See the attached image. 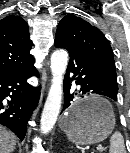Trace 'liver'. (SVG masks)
<instances>
[{"label": "liver", "instance_id": "6515ba94", "mask_svg": "<svg viewBox=\"0 0 130 153\" xmlns=\"http://www.w3.org/2000/svg\"><path fill=\"white\" fill-rule=\"evenodd\" d=\"M16 147V136L0 126V153H12Z\"/></svg>", "mask_w": 130, "mask_h": 153}]
</instances>
